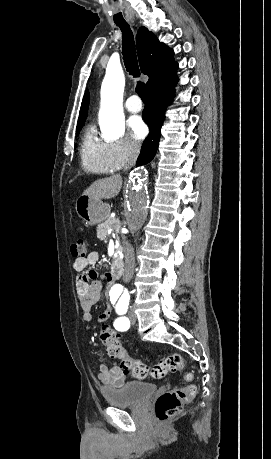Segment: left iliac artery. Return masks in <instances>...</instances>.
Returning <instances> with one entry per match:
<instances>
[{
  "label": "left iliac artery",
  "mask_w": 271,
  "mask_h": 459,
  "mask_svg": "<svg viewBox=\"0 0 271 459\" xmlns=\"http://www.w3.org/2000/svg\"><path fill=\"white\" fill-rule=\"evenodd\" d=\"M128 309V303H118L116 305L115 314L117 316H124ZM114 327L118 331H126L130 328V321L127 317H121L115 320Z\"/></svg>",
  "instance_id": "1"
}]
</instances>
